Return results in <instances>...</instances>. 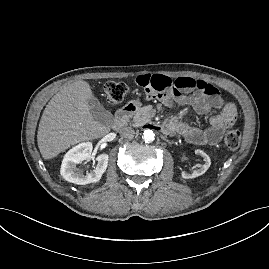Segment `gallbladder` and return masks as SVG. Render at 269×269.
Here are the masks:
<instances>
[{
	"label": "gallbladder",
	"mask_w": 269,
	"mask_h": 269,
	"mask_svg": "<svg viewBox=\"0 0 269 269\" xmlns=\"http://www.w3.org/2000/svg\"><path fill=\"white\" fill-rule=\"evenodd\" d=\"M88 104L91 108V114L93 118L104 124V125H112L114 122L113 115L111 112H109L103 104L100 103V101L97 98L90 99L88 101Z\"/></svg>",
	"instance_id": "1"
}]
</instances>
